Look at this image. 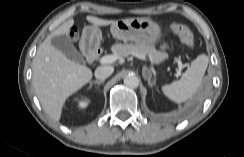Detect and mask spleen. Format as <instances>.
Instances as JSON below:
<instances>
[{
  "instance_id": "spleen-1",
  "label": "spleen",
  "mask_w": 244,
  "mask_h": 157,
  "mask_svg": "<svg viewBox=\"0 0 244 157\" xmlns=\"http://www.w3.org/2000/svg\"><path fill=\"white\" fill-rule=\"evenodd\" d=\"M208 61L207 55H198L180 80L164 85L161 88L163 94L176 103L188 100L199 88L207 69Z\"/></svg>"
}]
</instances>
